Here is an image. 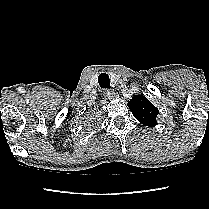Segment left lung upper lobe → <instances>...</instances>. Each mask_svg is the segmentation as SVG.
Returning <instances> with one entry per match:
<instances>
[{
  "label": "left lung upper lobe",
  "mask_w": 209,
  "mask_h": 209,
  "mask_svg": "<svg viewBox=\"0 0 209 209\" xmlns=\"http://www.w3.org/2000/svg\"><path fill=\"white\" fill-rule=\"evenodd\" d=\"M128 106L134 117L143 125L153 127L157 124L159 110L143 95L134 96Z\"/></svg>",
  "instance_id": "1"
}]
</instances>
